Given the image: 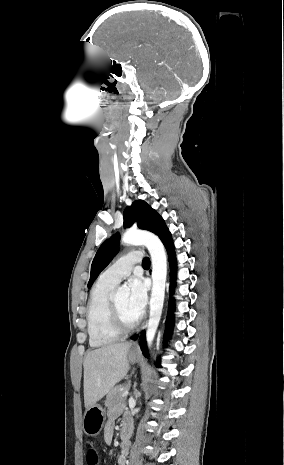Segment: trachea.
<instances>
[{"label":"trachea","instance_id":"obj_1","mask_svg":"<svg viewBox=\"0 0 284 465\" xmlns=\"http://www.w3.org/2000/svg\"><path fill=\"white\" fill-rule=\"evenodd\" d=\"M142 265L144 268H149L150 267V260L148 257H145L142 261Z\"/></svg>","mask_w":284,"mask_h":465}]
</instances>
